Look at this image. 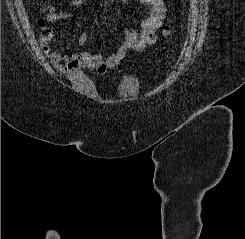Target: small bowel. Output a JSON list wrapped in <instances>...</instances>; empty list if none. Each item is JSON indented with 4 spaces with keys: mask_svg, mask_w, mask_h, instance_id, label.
<instances>
[{
    "mask_svg": "<svg viewBox=\"0 0 245 239\" xmlns=\"http://www.w3.org/2000/svg\"><path fill=\"white\" fill-rule=\"evenodd\" d=\"M85 2L86 0H71L70 4L80 6ZM139 2L147 9V15L140 22L139 30L125 31L124 41L115 53L104 59L100 53L82 51L64 55L56 51L48 52L45 48L50 63L62 75L74 74L82 69L94 70L100 75H105L112 69H119L128 51H143L155 43V33L164 20L166 7L163 0H139ZM68 17H71L69 12L50 6L46 23L50 24ZM87 40L88 35L84 33L79 38V44L85 46Z\"/></svg>",
    "mask_w": 245,
    "mask_h": 239,
    "instance_id": "obj_1",
    "label": "small bowel"
}]
</instances>
